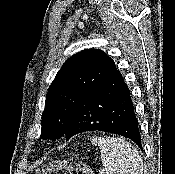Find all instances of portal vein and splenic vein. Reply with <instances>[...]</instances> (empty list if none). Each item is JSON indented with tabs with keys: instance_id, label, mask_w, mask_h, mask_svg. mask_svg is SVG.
Returning <instances> with one entry per match:
<instances>
[{
	"instance_id": "obj_1",
	"label": "portal vein and splenic vein",
	"mask_w": 175,
	"mask_h": 174,
	"mask_svg": "<svg viewBox=\"0 0 175 174\" xmlns=\"http://www.w3.org/2000/svg\"><path fill=\"white\" fill-rule=\"evenodd\" d=\"M103 173H104V170H101V171H100V174H103Z\"/></svg>"
}]
</instances>
